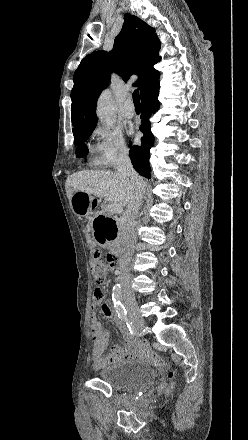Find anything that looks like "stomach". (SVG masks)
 <instances>
[{
    "label": "stomach",
    "mask_w": 248,
    "mask_h": 440,
    "mask_svg": "<svg viewBox=\"0 0 248 440\" xmlns=\"http://www.w3.org/2000/svg\"><path fill=\"white\" fill-rule=\"evenodd\" d=\"M96 198L86 192L76 191L71 199L73 212L88 218L90 211L96 206ZM111 209H97L93 215V223L89 224V231L94 232L96 246H115L118 239L120 225L117 218H111Z\"/></svg>",
    "instance_id": "obj_1"
}]
</instances>
